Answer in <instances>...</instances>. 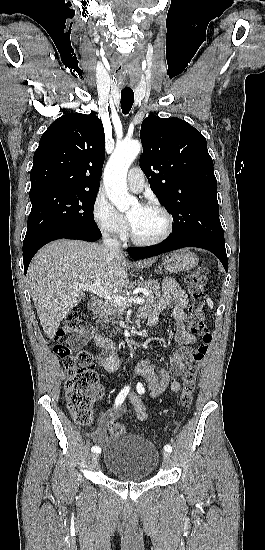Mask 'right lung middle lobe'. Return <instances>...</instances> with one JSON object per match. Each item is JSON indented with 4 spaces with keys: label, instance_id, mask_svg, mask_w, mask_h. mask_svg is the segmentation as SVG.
<instances>
[{
    "label": "right lung middle lobe",
    "instance_id": "obj_1",
    "mask_svg": "<svg viewBox=\"0 0 265 550\" xmlns=\"http://www.w3.org/2000/svg\"><path fill=\"white\" fill-rule=\"evenodd\" d=\"M97 192L39 188L29 193L32 203L23 244L66 227L97 229L93 206Z\"/></svg>",
    "mask_w": 265,
    "mask_h": 550
}]
</instances>
